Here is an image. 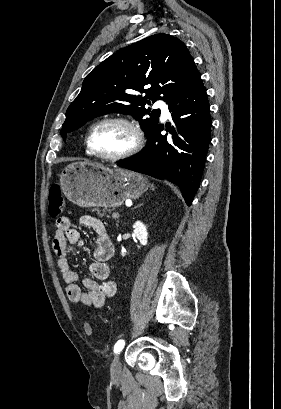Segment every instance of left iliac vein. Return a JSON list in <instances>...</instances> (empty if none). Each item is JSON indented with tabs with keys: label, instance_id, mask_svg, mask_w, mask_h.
Segmentation results:
<instances>
[{
	"label": "left iliac vein",
	"instance_id": "4c4485c4",
	"mask_svg": "<svg viewBox=\"0 0 281 409\" xmlns=\"http://www.w3.org/2000/svg\"><path fill=\"white\" fill-rule=\"evenodd\" d=\"M110 372L112 377H118L121 374V362L119 353L112 360Z\"/></svg>",
	"mask_w": 281,
	"mask_h": 409
}]
</instances>
